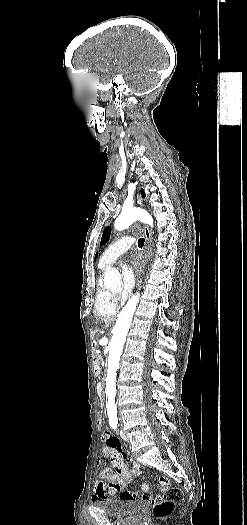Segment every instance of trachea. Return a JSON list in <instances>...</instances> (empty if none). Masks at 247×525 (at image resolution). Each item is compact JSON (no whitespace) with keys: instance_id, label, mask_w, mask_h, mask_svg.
I'll use <instances>...</instances> for the list:
<instances>
[{"instance_id":"trachea-1","label":"trachea","mask_w":247,"mask_h":525,"mask_svg":"<svg viewBox=\"0 0 247 525\" xmlns=\"http://www.w3.org/2000/svg\"><path fill=\"white\" fill-rule=\"evenodd\" d=\"M144 244H145V239L144 238H140L138 240V242H137V245H138L139 248H143Z\"/></svg>"}]
</instances>
